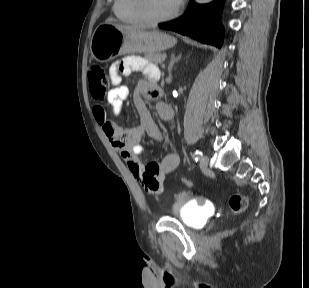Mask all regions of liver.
Returning a JSON list of instances; mask_svg holds the SVG:
<instances>
[{"instance_id":"liver-1","label":"liver","mask_w":309,"mask_h":288,"mask_svg":"<svg viewBox=\"0 0 309 288\" xmlns=\"http://www.w3.org/2000/svg\"><path fill=\"white\" fill-rule=\"evenodd\" d=\"M124 27H127V28H136V27H128V26H124Z\"/></svg>"}]
</instances>
